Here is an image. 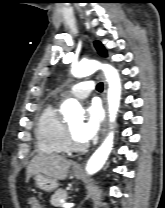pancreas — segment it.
<instances>
[{"label":"pancreas","mask_w":165,"mask_h":208,"mask_svg":"<svg viewBox=\"0 0 165 208\" xmlns=\"http://www.w3.org/2000/svg\"><path fill=\"white\" fill-rule=\"evenodd\" d=\"M67 199V192L65 190H57L50 199V203L55 206V207H61L62 206V201Z\"/></svg>","instance_id":"1"}]
</instances>
